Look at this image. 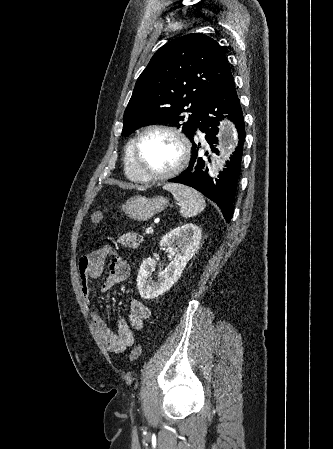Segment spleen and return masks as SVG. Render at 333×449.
<instances>
[{"label":"spleen","instance_id":"obj_1","mask_svg":"<svg viewBox=\"0 0 333 449\" xmlns=\"http://www.w3.org/2000/svg\"><path fill=\"white\" fill-rule=\"evenodd\" d=\"M165 190L172 193L174 199L180 206V213L183 217H193L205 208L203 196L195 189L178 183L164 185Z\"/></svg>","mask_w":333,"mask_h":449}]
</instances>
